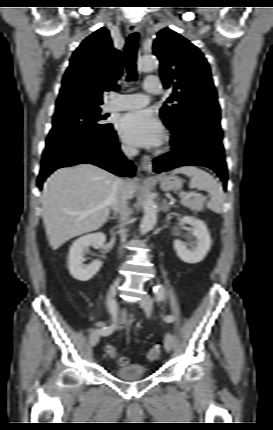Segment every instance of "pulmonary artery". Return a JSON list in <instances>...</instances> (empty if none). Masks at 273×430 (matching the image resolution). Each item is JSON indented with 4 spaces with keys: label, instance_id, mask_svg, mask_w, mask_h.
Returning <instances> with one entry per match:
<instances>
[{
    "label": "pulmonary artery",
    "instance_id": "1",
    "mask_svg": "<svg viewBox=\"0 0 273 430\" xmlns=\"http://www.w3.org/2000/svg\"><path fill=\"white\" fill-rule=\"evenodd\" d=\"M145 91L149 94L160 93V83L155 78H148L144 84ZM149 103V96L145 94L116 95L109 101L105 109L107 111H123L138 109Z\"/></svg>",
    "mask_w": 273,
    "mask_h": 430
}]
</instances>
